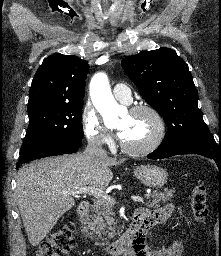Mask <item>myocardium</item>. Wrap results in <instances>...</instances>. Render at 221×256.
Masks as SVG:
<instances>
[{
  "label": "myocardium",
  "instance_id": "myocardium-1",
  "mask_svg": "<svg viewBox=\"0 0 221 256\" xmlns=\"http://www.w3.org/2000/svg\"><path fill=\"white\" fill-rule=\"evenodd\" d=\"M141 112L148 113L153 118L156 124V133L150 142L142 146H130L121 140V148L125 152L133 155H145L153 152L162 144L167 133L165 119L154 106L149 104H137L129 109L130 114H137Z\"/></svg>",
  "mask_w": 221,
  "mask_h": 256
}]
</instances>
